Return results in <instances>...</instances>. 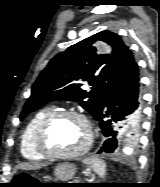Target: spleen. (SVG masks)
Returning <instances> with one entry per match:
<instances>
[{
  "mask_svg": "<svg viewBox=\"0 0 160 187\" xmlns=\"http://www.w3.org/2000/svg\"><path fill=\"white\" fill-rule=\"evenodd\" d=\"M85 163L91 164L92 169L98 176L103 177L105 175L106 169L103 161L93 158L85 160Z\"/></svg>",
  "mask_w": 160,
  "mask_h": 187,
  "instance_id": "spleen-1",
  "label": "spleen"
}]
</instances>
